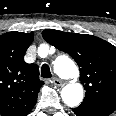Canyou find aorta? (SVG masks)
Returning <instances> with one entry per match:
<instances>
[{"mask_svg": "<svg viewBox=\"0 0 116 116\" xmlns=\"http://www.w3.org/2000/svg\"><path fill=\"white\" fill-rule=\"evenodd\" d=\"M54 68L64 79L76 80L79 76L76 65L66 56L58 57L54 63ZM73 80L61 90V98L69 107H76L83 100V87Z\"/></svg>", "mask_w": 116, "mask_h": 116, "instance_id": "1", "label": "aorta"}]
</instances>
